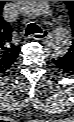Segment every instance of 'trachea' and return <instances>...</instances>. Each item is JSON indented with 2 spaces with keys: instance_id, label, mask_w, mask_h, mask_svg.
Listing matches in <instances>:
<instances>
[{
  "instance_id": "trachea-1",
  "label": "trachea",
  "mask_w": 74,
  "mask_h": 122,
  "mask_svg": "<svg viewBox=\"0 0 74 122\" xmlns=\"http://www.w3.org/2000/svg\"><path fill=\"white\" fill-rule=\"evenodd\" d=\"M42 33V29L34 24V23H30L28 24L26 31H25V36L31 35V34H39Z\"/></svg>"
}]
</instances>
